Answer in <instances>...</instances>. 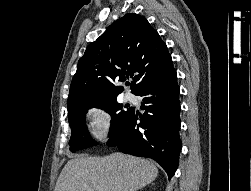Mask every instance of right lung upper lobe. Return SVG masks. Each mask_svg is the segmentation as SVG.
<instances>
[{
    "instance_id": "right-lung-upper-lobe-1",
    "label": "right lung upper lobe",
    "mask_w": 251,
    "mask_h": 191,
    "mask_svg": "<svg viewBox=\"0 0 251 191\" xmlns=\"http://www.w3.org/2000/svg\"><path fill=\"white\" fill-rule=\"evenodd\" d=\"M175 72L158 32L144 17L126 14L88 45L71 82L67 109L117 99L124 89L114 83L129 76L131 92L137 94Z\"/></svg>"
}]
</instances>
